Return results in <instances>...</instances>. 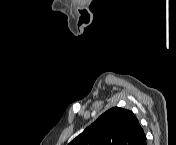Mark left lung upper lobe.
I'll return each mask as SVG.
<instances>
[{
    "label": "left lung upper lobe",
    "mask_w": 176,
    "mask_h": 145,
    "mask_svg": "<svg viewBox=\"0 0 176 145\" xmlns=\"http://www.w3.org/2000/svg\"><path fill=\"white\" fill-rule=\"evenodd\" d=\"M143 129L132 111L114 107L102 114L69 145H143Z\"/></svg>",
    "instance_id": "obj_1"
}]
</instances>
